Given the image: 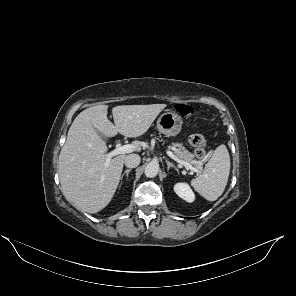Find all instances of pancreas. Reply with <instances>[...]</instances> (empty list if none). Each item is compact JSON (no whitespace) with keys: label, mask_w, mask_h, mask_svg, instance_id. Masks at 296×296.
Returning <instances> with one entry per match:
<instances>
[{"label":"pancreas","mask_w":296,"mask_h":296,"mask_svg":"<svg viewBox=\"0 0 296 296\" xmlns=\"http://www.w3.org/2000/svg\"><path fill=\"white\" fill-rule=\"evenodd\" d=\"M175 155L181 159L182 161H185L189 164H193L196 167H200L201 163L194 160V155L190 153L188 150H186L181 144H174L172 147Z\"/></svg>","instance_id":"1"}]
</instances>
